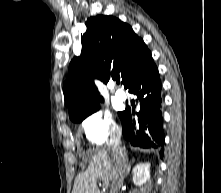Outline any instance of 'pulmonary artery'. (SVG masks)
I'll return each instance as SVG.
<instances>
[{
	"label": "pulmonary artery",
	"instance_id": "e3ab8cb5",
	"mask_svg": "<svg viewBox=\"0 0 221 193\" xmlns=\"http://www.w3.org/2000/svg\"><path fill=\"white\" fill-rule=\"evenodd\" d=\"M115 95H116V98L121 100V101H125L128 98L126 92L123 91L122 89H118L116 91Z\"/></svg>",
	"mask_w": 221,
	"mask_h": 193
}]
</instances>
